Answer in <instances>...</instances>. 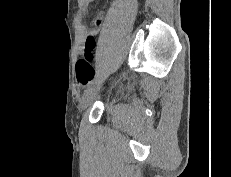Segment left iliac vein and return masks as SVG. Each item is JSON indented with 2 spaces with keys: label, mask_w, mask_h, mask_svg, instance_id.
<instances>
[{
  "label": "left iliac vein",
  "mask_w": 231,
  "mask_h": 177,
  "mask_svg": "<svg viewBox=\"0 0 231 177\" xmlns=\"http://www.w3.org/2000/svg\"><path fill=\"white\" fill-rule=\"evenodd\" d=\"M99 90H100L99 85H93L84 92L80 100V110L81 111H84L85 109H87V107L94 101Z\"/></svg>",
  "instance_id": "left-iliac-vein-1"
}]
</instances>
